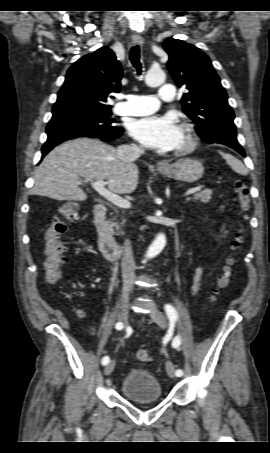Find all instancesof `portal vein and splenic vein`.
I'll return each instance as SVG.
<instances>
[{
	"mask_svg": "<svg viewBox=\"0 0 270 453\" xmlns=\"http://www.w3.org/2000/svg\"><path fill=\"white\" fill-rule=\"evenodd\" d=\"M90 184L103 198H105L107 201L111 202L115 206H117L119 208H123V209H128L131 207V204L128 200L107 190L105 188V182L103 180H97L95 182H91ZM202 188H203V186H197V187L191 188L185 193L184 196H189L191 194H194V193L200 191Z\"/></svg>",
	"mask_w": 270,
	"mask_h": 453,
	"instance_id": "portal-vein-and-splenic-vein-1",
	"label": "portal vein and splenic vein"
}]
</instances>
